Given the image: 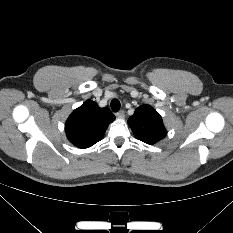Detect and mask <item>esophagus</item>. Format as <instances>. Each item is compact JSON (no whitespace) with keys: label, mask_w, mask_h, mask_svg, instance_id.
I'll return each mask as SVG.
<instances>
[{"label":"esophagus","mask_w":233,"mask_h":233,"mask_svg":"<svg viewBox=\"0 0 233 233\" xmlns=\"http://www.w3.org/2000/svg\"><path fill=\"white\" fill-rule=\"evenodd\" d=\"M116 116L119 118V119H123L125 117V112L123 110L119 111Z\"/></svg>","instance_id":"34e87169"}]
</instances>
